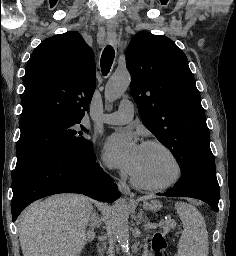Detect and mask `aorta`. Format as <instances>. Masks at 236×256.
<instances>
[{
    "label": "aorta",
    "instance_id": "obj_1",
    "mask_svg": "<svg viewBox=\"0 0 236 256\" xmlns=\"http://www.w3.org/2000/svg\"><path fill=\"white\" fill-rule=\"evenodd\" d=\"M131 82L128 71L116 72L105 86V99L113 102L120 98L127 90ZM112 230L119 245L124 252L129 250V226H128V206L125 199H118L112 210L111 217Z\"/></svg>",
    "mask_w": 236,
    "mask_h": 256
}]
</instances>
